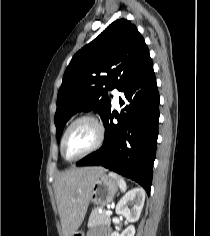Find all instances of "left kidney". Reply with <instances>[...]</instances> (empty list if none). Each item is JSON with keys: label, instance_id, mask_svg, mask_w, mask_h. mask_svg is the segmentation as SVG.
<instances>
[{"label": "left kidney", "instance_id": "left-kidney-1", "mask_svg": "<svg viewBox=\"0 0 210 236\" xmlns=\"http://www.w3.org/2000/svg\"><path fill=\"white\" fill-rule=\"evenodd\" d=\"M145 201V192L141 188H133L128 191L118 202L116 205V214L124 216L126 221L134 223L136 222L140 215L144 206ZM135 202L133 208L131 210L128 209L127 205ZM135 235V227L133 225L128 226L126 229L122 231L121 234L118 232H113L111 236H134Z\"/></svg>", "mask_w": 210, "mask_h": 236}]
</instances>
